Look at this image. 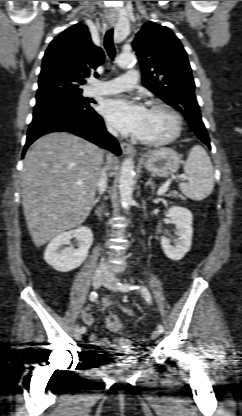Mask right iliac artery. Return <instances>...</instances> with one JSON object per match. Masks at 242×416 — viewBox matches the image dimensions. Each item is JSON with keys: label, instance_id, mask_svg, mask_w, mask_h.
I'll use <instances>...</instances> for the list:
<instances>
[{"label": "right iliac artery", "instance_id": "82829eb1", "mask_svg": "<svg viewBox=\"0 0 242 416\" xmlns=\"http://www.w3.org/2000/svg\"><path fill=\"white\" fill-rule=\"evenodd\" d=\"M97 292L93 291L91 292V294L89 295V299L90 301L94 302L97 299ZM81 333H85L86 332V328L85 327H81L80 329Z\"/></svg>", "mask_w": 242, "mask_h": 416}]
</instances>
